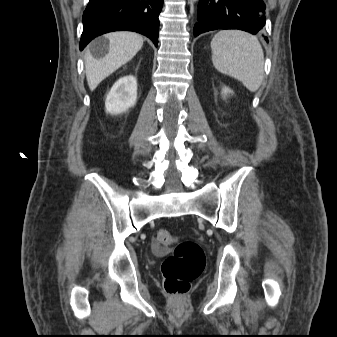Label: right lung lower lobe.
<instances>
[{
    "instance_id": "98d812e1",
    "label": "right lung lower lobe",
    "mask_w": 337,
    "mask_h": 337,
    "mask_svg": "<svg viewBox=\"0 0 337 337\" xmlns=\"http://www.w3.org/2000/svg\"><path fill=\"white\" fill-rule=\"evenodd\" d=\"M162 5L163 0H90L83 14L80 50L95 37L118 30L141 33L157 46Z\"/></svg>"
}]
</instances>
